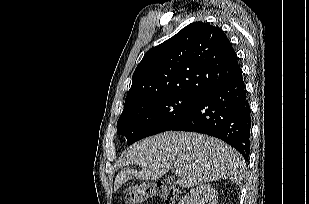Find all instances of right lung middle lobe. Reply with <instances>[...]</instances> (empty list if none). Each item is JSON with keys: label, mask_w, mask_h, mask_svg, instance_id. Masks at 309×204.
Here are the masks:
<instances>
[{"label": "right lung middle lobe", "mask_w": 309, "mask_h": 204, "mask_svg": "<svg viewBox=\"0 0 309 204\" xmlns=\"http://www.w3.org/2000/svg\"><path fill=\"white\" fill-rule=\"evenodd\" d=\"M199 96L167 94L141 99L125 105L117 122V132L127 138V144L164 132L186 113Z\"/></svg>", "instance_id": "dd1d6c3e"}]
</instances>
